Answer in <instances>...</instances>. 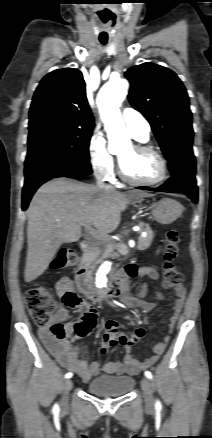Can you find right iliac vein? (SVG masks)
Returning a JSON list of instances; mask_svg holds the SVG:
<instances>
[{
    "instance_id": "right-iliac-vein-1",
    "label": "right iliac vein",
    "mask_w": 212,
    "mask_h": 438,
    "mask_svg": "<svg viewBox=\"0 0 212 438\" xmlns=\"http://www.w3.org/2000/svg\"><path fill=\"white\" fill-rule=\"evenodd\" d=\"M72 385H73V383L70 379H67L64 381V393H63V397L61 400V405L63 408L67 407V404H68L67 395H68L69 391L71 390Z\"/></svg>"
}]
</instances>
